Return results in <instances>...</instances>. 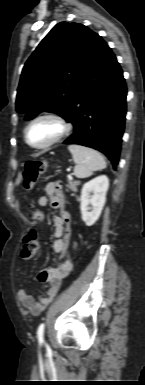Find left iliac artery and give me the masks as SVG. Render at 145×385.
<instances>
[{"instance_id": "1", "label": "left iliac artery", "mask_w": 145, "mask_h": 385, "mask_svg": "<svg viewBox=\"0 0 145 385\" xmlns=\"http://www.w3.org/2000/svg\"><path fill=\"white\" fill-rule=\"evenodd\" d=\"M44 323L40 324L37 330V337L40 344L44 343Z\"/></svg>"}]
</instances>
